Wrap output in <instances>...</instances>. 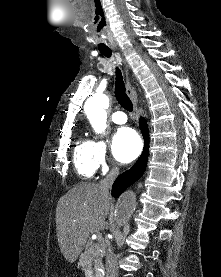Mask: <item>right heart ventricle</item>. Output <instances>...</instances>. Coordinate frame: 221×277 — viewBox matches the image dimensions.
Listing matches in <instances>:
<instances>
[{
	"label": "right heart ventricle",
	"instance_id": "obj_1",
	"mask_svg": "<svg viewBox=\"0 0 221 277\" xmlns=\"http://www.w3.org/2000/svg\"><path fill=\"white\" fill-rule=\"evenodd\" d=\"M73 162L81 178L91 179L97 170L94 158V142L85 138L77 141L73 152Z\"/></svg>",
	"mask_w": 221,
	"mask_h": 277
}]
</instances>
